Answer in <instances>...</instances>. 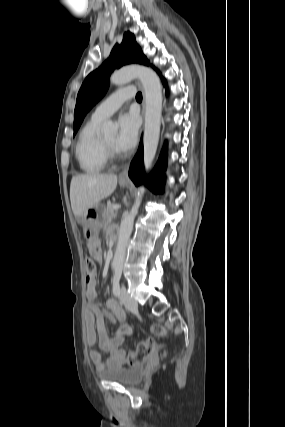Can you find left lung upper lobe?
Wrapping results in <instances>:
<instances>
[{
    "label": "left lung upper lobe",
    "mask_w": 285,
    "mask_h": 427,
    "mask_svg": "<svg viewBox=\"0 0 285 427\" xmlns=\"http://www.w3.org/2000/svg\"><path fill=\"white\" fill-rule=\"evenodd\" d=\"M130 63L149 65L132 33L126 32L120 45L116 44L110 57L95 71L90 73L83 82L74 111V134L77 132L85 114L106 93L109 77L115 68Z\"/></svg>",
    "instance_id": "left-lung-upper-lobe-1"
}]
</instances>
